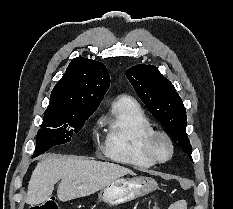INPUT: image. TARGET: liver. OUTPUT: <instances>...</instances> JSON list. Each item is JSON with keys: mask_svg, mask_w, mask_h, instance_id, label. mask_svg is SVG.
I'll list each match as a JSON object with an SVG mask.
<instances>
[{"mask_svg": "<svg viewBox=\"0 0 233 209\" xmlns=\"http://www.w3.org/2000/svg\"><path fill=\"white\" fill-rule=\"evenodd\" d=\"M132 170L110 162L87 160L78 157H49L39 162L28 184L26 203L37 205L53 193L54 185L60 201L66 202L89 196Z\"/></svg>", "mask_w": 233, "mask_h": 209, "instance_id": "liver-1", "label": "liver"}]
</instances>
